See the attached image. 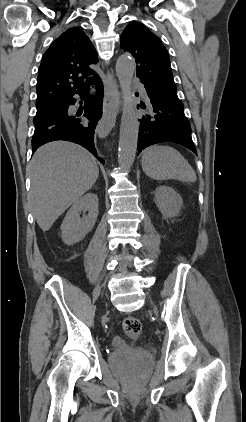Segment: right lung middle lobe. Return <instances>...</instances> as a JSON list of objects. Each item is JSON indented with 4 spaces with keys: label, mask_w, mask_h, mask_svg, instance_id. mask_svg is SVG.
I'll return each instance as SVG.
<instances>
[{
    "label": "right lung middle lobe",
    "mask_w": 246,
    "mask_h": 422,
    "mask_svg": "<svg viewBox=\"0 0 246 422\" xmlns=\"http://www.w3.org/2000/svg\"><path fill=\"white\" fill-rule=\"evenodd\" d=\"M52 114H53V106L43 108V109H39V110H37L36 116L34 117L33 121L41 119V118L49 116V115H52Z\"/></svg>",
    "instance_id": "right-lung-middle-lobe-1"
}]
</instances>
